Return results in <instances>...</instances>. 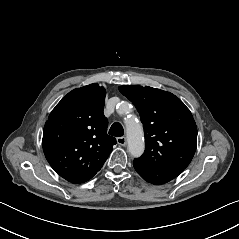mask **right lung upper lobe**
<instances>
[{
	"mask_svg": "<svg viewBox=\"0 0 239 239\" xmlns=\"http://www.w3.org/2000/svg\"><path fill=\"white\" fill-rule=\"evenodd\" d=\"M105 96L104 87L96 83L74 89L56 105L45 123V157L66 180L92 178L116 144V139L107 135Z\"/></svg>",
	"mask_w": 239,
	"mask_h": 239,
	"instance_id": "obj_1",
	"label": "right lung upper lobe"
}]
</instances>
